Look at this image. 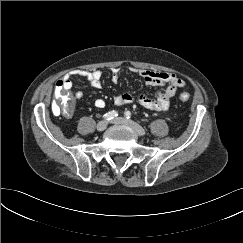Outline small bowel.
I'll use <instances>...</instances> for the list:
<instances>
[{
	"label": "small bowel",
	"mask_w": 243,
	"mask_h": 243,
	"mask_svg": "<svg viewBox=\"0 0 243 243\" xmlns=\"http://www.w3.org/2000/svg\"><path fill=\"white\" fill-rule=\"evenodd\" d=\"M134 72H136L143 79L146 85L162 87V89L157 91L154 97H147L145 95L134 96L129 93L117 94L114 97L115 104L126 105L137 102L150 110H166L169 107L171 98L175 95L177 90L185 85V82L174 73L150 70H134ZM111 74L112 82L118 83L120 80L121 70L119 68H112ZM74 75L85 77L88 80L91 88L98 89L101 87L102 72L100 70H77L73 73L65 75L59 81L65 90H70L72 88V76ZM82 96V91H77L74 95L75 99H80ZM95 106L100 109L104 108L105 101L101 98L96 99Z\"/></svg>",
	"instance_id": "1"
}]
</instances>
